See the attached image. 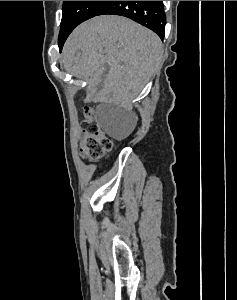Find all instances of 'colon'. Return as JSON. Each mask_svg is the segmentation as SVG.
<instances>
[{
	"label": "colon",
	"instance_id": "5ec220e1",
	"mask_svg": "<svg viewBox=\"0 0 237 300\" xmlns=\"http://www.w3.org/2000/svg\"><path fill=\"white\" fill-rule=\"evenodd\" d=\"M84 117L85 119L81 126L83 133L80 149L81 155L82 157L96 160L112 149V140L102 131L92 108L85 107Z\"/></svg>",
	"mask_w": 237,
	"mask_h": 300
}]
</instances>
